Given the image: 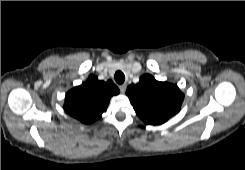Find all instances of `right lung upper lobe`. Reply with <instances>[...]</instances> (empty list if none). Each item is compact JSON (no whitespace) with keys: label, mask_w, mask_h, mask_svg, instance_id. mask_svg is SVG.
<instances>
[{"label":"right lung upper lobe","mask_w":245,"mask_h":170,"mask_svg":"<svg viewBox=\"0 0 245 170\" xmlns=\"http://www.w3.org/2000/svg\"><path fill=\"white\" fill-rule=\"evenodd\" d=\"M117 94L119 89L111 80L99 81L96 76L90 75L85 83L66 94L64 109L70 116L89 124L102 116L110 98Z\"/></svg>","instance_id":"1"}]
</instances>
